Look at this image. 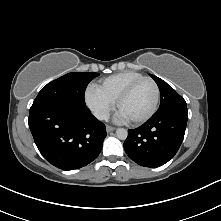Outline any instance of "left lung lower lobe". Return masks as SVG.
<instances>
[{
	"label": "left lung lower lobe",
	"instance_id": "left-lung-lower-lobe-1",
	"mask_svg": "<svg viewBox=\"0 0 221 221\" xmlns=\"http://www.w3.org/2000/svg\"><path fill=\"white\" fill-rule=\"evenodd\" d=\"M187 107H175L154 114L141 127L128 130L124 142L127 155L139 165L158 167L178 151L185 134Z\"/></svg>",
	"mask_w": 221,
	"mask_h": 221
}]
</instances>
